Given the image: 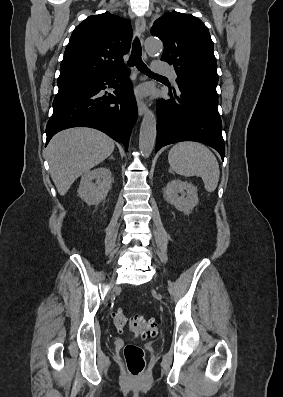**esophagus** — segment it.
<instances>
[{"mask_svg":"<svg viewBox=\"0 0 283 397\" xmlns=\"http://www.w3.org/2000/svg\"><path fill=\"white\" fill-rule=\"evenodd\" d=\"M145 27H146L145 20L143 18H137L135 21V30L140 38H142L144 35ZM143 58L144 59L147 58L145 53H143ZM137 106H138V113L140 116L146 113L148 108L146 103L142 99L140 98L137 99Z\"/></svg>","mask_w":283,"mask_h":397,"instance_id":"esophagus-1","label":"esophagus"}]
</instances>
